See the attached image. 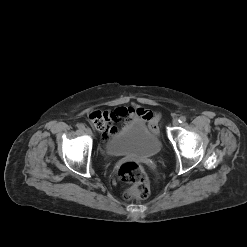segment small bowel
<instances>
[{
	"label": "small bowel",
	"instance_id": "obj_1",
	"mask_svg": "<svg viewBox=\"0 0 247 247\" xmlns=\"http://www.w3.org/2000/svg\"><path fill=\"white\" fill-rule=\"evenodd\" d=\"M107 117L106 134L113 136L117 133L116 123L125 119L128 123L142 122L147 123L153 133H159L161 115L141 107H119L112 112H104Z\"/></svg>",
	"mask_w": 247,
	"mask_h": 247
}]
</instances>
